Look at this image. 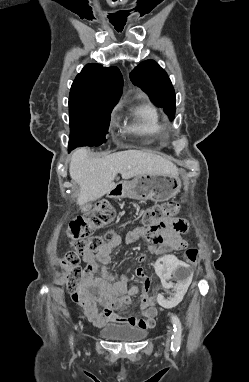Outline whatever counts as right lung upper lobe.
Wrapping results in <instances>:
<instances>
[{"instance_id": "obj_1", "label": "right lung upper lobe", "mask_w": 249, "mask_h": 382, "mask_svg": "<svg viewBox=\"0 0 249 382\" xmlns=\"http://www.w3.org/2000/svg\"><path fill=\"white\" fill-rule=\"evenodd\" d=\"M122 87L123 78L117 67L87 64L71 86L69 109L94 103L114 106L121 96Z\"/></svg>"}]
</instances>
